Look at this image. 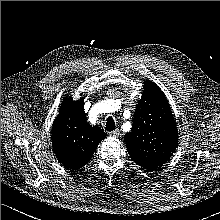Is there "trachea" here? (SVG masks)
Listing matches in <instances>:
<instances>
[{"mask_svg":"<svg viewBox=\"0 0 220 220\" xmlns=\"http://www.w3.org/2000/svg\"><path fill=\"white\" fill-rule=\"evenodd\" d=\"M106 130L107 131L115 130V122L112 117H108L106 120Z\"/></svg>","mask_w":220,"mask_h":220,"instance_id":"1","label":"trachea"}]
</instances>
